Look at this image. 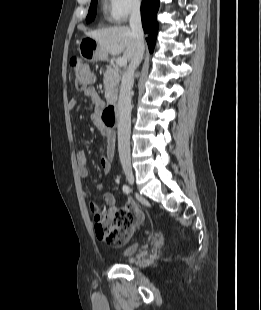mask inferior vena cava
<instances>
[{"label":"inferior vena cava","instance_id":"602c4592","mask_svg":"<svg viewBox=\"0 0 261 310\" xmlns=\"http://www.w3.org/2000/svg\"><path fill=\"white\" fill-rule=\"evenodd\" d=\"M130 28L137 42V49L121 81L118 111V151L123 167H130V131H131V89L134 83V72L140 65L144 54V33L141 22L140 4L136 3L131 10Z\"/></svg>","mask_w":261,"mask_h":310}]
</instances>
